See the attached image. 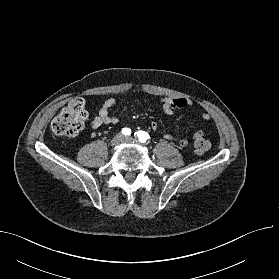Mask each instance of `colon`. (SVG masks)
I'll return each mask as SVG.
<instances>
[{"label":"colon","instance_id":"obj_1","mask_svg":"<svg viewBox=\"0 0 279 279\" xmlns=\"http://www.w3.org/2000/svg\"><path fill=\"white\" fill-rule=\"evenodd\" d=\"M87 112L83 99L76 98L69 102L52 120L51 130L56 136L72 137L77 135L84 127ZM210 148V142L203 136L194 142L197 153H204Z\"/></svg>","mask_w":279,"mask_h":279}]
</instances>
